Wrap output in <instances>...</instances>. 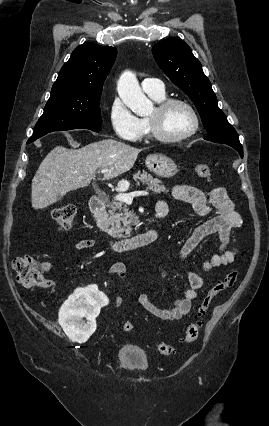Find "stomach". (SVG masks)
Segmentation results:
<instances>
[{"mask_svg": "<svg viewBox=\"0 0 269 426\" xmlns=\"http://www.w3.org/2000/svg\"><path fill=\"white\" fill-rule=\"evenodd\" d=\"M146 166L151 172L163 178L173 177L178 171L175 162L164 155H149Z\"/></svg>", "mask_w": 269, "mask_h": 426, "instance_id": "obj_1", "label": "stomach"}]
</instances>
